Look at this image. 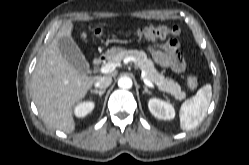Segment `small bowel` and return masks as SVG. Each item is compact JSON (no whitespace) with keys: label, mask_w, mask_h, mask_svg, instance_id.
<instances>
[{"label":"small bowel","mask_w":249,"mask_h":165,"mask_svg":"<svg viewBox=\"0 0 249 165\" xmlns=\"http://www.w3.org/2000/svg\"><path fill=\"white\" fill-rule=\"evenodd\" d=\"M150 53L154 61L161 67L169 68L176 73L185 69V61L179 43L175 39H170L161 45L152 46Z\"/></svg>","instance_id":"small-bowel-1"}]
</instances>
